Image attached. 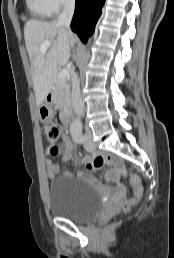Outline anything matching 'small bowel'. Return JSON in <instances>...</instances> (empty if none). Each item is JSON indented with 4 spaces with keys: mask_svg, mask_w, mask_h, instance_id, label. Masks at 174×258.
Listing matches in <instances>:
<instances>
[{
    "mask_svg": "<svg viewBox=\"0 0 174 258\" xmlns=\"http://www.w3.org/2000/svg\"><path fill=\"white\" fill-rule=\"evenodd\" d=\"M47 153L50 155H56L61 153L63 162L74 159L76 163H82L84 166L91 171H98L104 165L111 167V170L107 173V176L110 179H117L119 175L125 173V169L121 161L114 156H102L97 152H92L87 155L82 161L78 160L76 157V148L75 145L70 141V139L64 135L62 143L56 147V154L53 153V149L50 147L47 149ZM46 168L48 177L51 180H54L59 172L60 166L57 163L52 162L51 160H46Z\"/></svg>",
    "mask_w": 174,
    "mask_h": 258,
    "instance_id": "c3829d8e",
    "label": "small bowel"
}]
</instances>
